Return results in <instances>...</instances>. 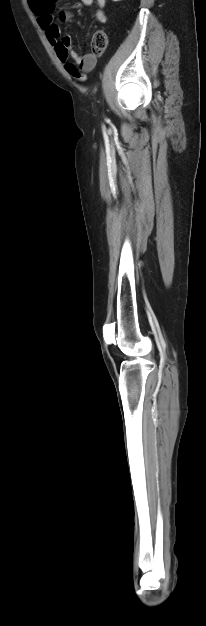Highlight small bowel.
I'll return each mask as SVG.
<instances>
[{
  "instance_id": "c3829d8e",
  "label": "small bowel",
  "mask_w": 206,
  "mask_h": 626,
  "mask_svg": "<svg viewBox=\"0 0 206 626\" xmlns=\"http://www.w3.org/2000/svg\"><path fill=\"white\" fill-rule=\"evenodd\" d=\"M84 5L91 6L94 3L98 6L95 18L98 22L104 24L107 22V16L103 9L107 0H81ZM32 11L38 17V23L41 29L53 47L58 59L64 66L65 70L82 81L85 73L90 72L96 65V57L90 53L79 54L72 49L71 38L68 35H62L59 23L55 21L53 9L54 0H28ZM69 11H63L59 15V22H67L71 18ZM70 58L73 62H70Z\"/></svg>"
}]
</instances>
